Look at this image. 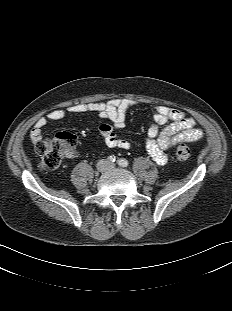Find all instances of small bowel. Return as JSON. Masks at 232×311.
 Returning a JSON list of instances; mask_svg holds the SVG:
<instances>
[{"mask_svg":"<svg viewBox=\"0 0 232 311\" xmlns=\"http://www.w3.org/2000/svg\"><path fill=\"white\" fill-rule=\"evenodd\" d=\"M136 105L137 102L131 99L113 98L107 102L79 103L57 108L37 119L30 131V139L34 144L43 139V129L50 121L64 119L68 114L94 113L111 121V124H102L100 127L105 144L129 149L130 141L120 137L117 131L125 127L128 112ZM152 114L153 120L147 130L145 147L150 157L159 165L168 160L166 150L179 143L194 142L203 137V132L196 127L195 120L181 110L156 106Z\"/></svg>","mask_w":232,"mask_h":311,"instance_id":"obj_1","label":"small bowel"}]
</instances>
